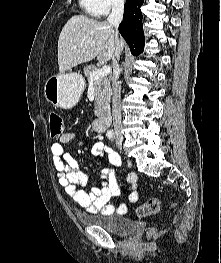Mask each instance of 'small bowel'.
<instances>
[{
    "label": "small bowel",
    "mask_w": 221,
    "mask_h": 263,
    "mask_svg": "<svg viewBox=\"0 0 221 263\" xmlns=\"http://www.w3.org/2000/svg\"><path fill=\"white\" fill-rule=\"evenodd\" d=\"M77 136L76 132H66L53 142L50 146L53 165L57 172L58 182L66 193L84 210L90 213H102L110 215L114 213L124 214L127 211L125 204L114 205L110 202L112 197L121 194L115 173L109 168L101 172V186L93 187L89 192L82 189L87 184V175L78 169L77 160L65 151L64 145L71 143ZM86 140L77 142V146H86ZM92 154L101 160L107 161L114 166L121 165V158L118 153L108 149L103 143L97 142L92 145ZM125 180L128 184L129 201L137 203L139 195L137 189V176L129 172Z\"/></svg>",
    "instance_id": "small-bowel-1"
}]
</instances>
